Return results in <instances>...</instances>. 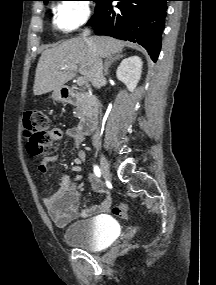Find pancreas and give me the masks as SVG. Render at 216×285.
I'll list each match as a JSON object with an SVG mask.
<instances>
[{
    "mask_svg": "<svg viewBox=\"0 0 216 285\" xmlns=\"http://www.w3.org/2000/svg\"><path fill=\"white\" fill-rule=\"evenodd\" d=\"M89 109V102L86 99H79L76 102L75 112L77 116H84Z\"/></svg>",
    "mask_w": 216,
    "mask_h": 285,
    "instance_id": "1",
    "label": "pancreas"
}]
</instances>
